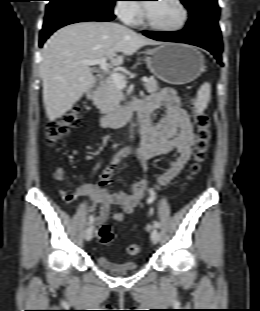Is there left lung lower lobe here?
<instances>
[{"label": "left lung lower lobe", "mask_w": 260, "mask_h": 311, "mask_svg": "<svg viewBox=\"0 0 260 311\" xmlns=\"http://www.w3.org/2000/svg\"><path fill=\"white\" fill-rule=\"evenodd\" d=\"M143 34L159 41H171L196 45L210 51L217 59L218 63H222V41L221 33H217L205 29H189L185 28L177 32H154L143 31Z\"/></svg>", "instance_id": "1"}]
</instances>
